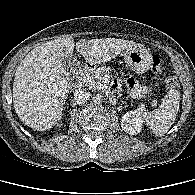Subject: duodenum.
<instances>
[{
	"label": "duodenum",
	"instance_id": "410a0bca",
	"mask_svg": "<svg viewBox=\"0 0 195 195\" xmlns=\"http://www.w3.org/2000/svg\"><path fill=\"white\" fill-rule=\"evenodd\" d=\"M94 69V65L92 64H87L85 65L79 72L78 74V78L74 84V88L77 90L82 86V80L84 78V76L91 70Z\"/></svg>",
	"mask_w": 195,
	"mask_h": 195
}]
</instances>
